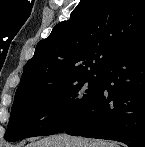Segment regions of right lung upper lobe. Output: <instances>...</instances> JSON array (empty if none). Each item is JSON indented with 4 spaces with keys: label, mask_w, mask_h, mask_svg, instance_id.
<instances>
[{
    "label": "right lung upper lobe",
    "mask_w": 145,
    "mask_h": 147,
    "mask_svg": "<svg viewBox=\"0 0 145 147\" xmlns=\"http://www.w3.org/2000/svg\"><path fill=\"white\" fill-rule=\"evenodd\" d=\"M144 33L145 0H81L70 19L37 44L16 93L55 89L78 76L101 73Z\"/></svg>",
    "instance_id": "right-lung-upper-lobe-1"
}]
</instances>
